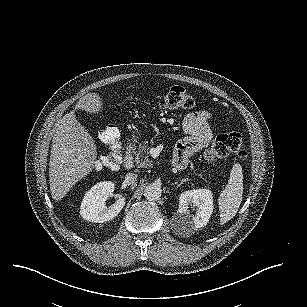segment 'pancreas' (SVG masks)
I'll list each match as a JSON object with an SVG mask.
<instances>
[{"label": "pancreas", "instance_id": "obj_1", "mask_svg": "<svg viewBox=\"0 0 307 307\" xmlns=\"http://www.w3.org/2000/svg\"><path fill=\"white\" fill-rule=\"evenodd\" d=\"M142 144H145V142ZM142 144H139L138 148L134 152V163L137 168L153 167V163L149 159V147Z\"/></svg>", "mask_w": 307, "mask_h": 307}]
</instances>
